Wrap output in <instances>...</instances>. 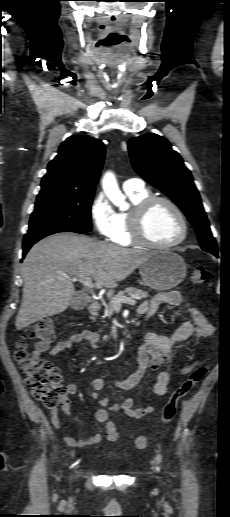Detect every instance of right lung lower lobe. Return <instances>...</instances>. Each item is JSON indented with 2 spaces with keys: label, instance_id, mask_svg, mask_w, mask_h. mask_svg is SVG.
<instances>
[{
  "label": "right lung lower lobe",
  "instance_id": "right-lung-lower-lobe-1",
  "mask_svg": "<svg viewBox=\"0 0 230 517\" xmlns=\"http://www.w3.org/2000/svg\"><path fill=\"white\" fill-rule=\"evenodd\" d=\"M66 231L76 232V233H86V231L72 229L69 227H54V228H50V229H46V230L27 233L24 236V240H23V257H25L26 253L31 248V246L34 243H36L37 241H39L40 239H42L48 235L54 234V233L66 232Z\"/></svg>",
  "mask_w": 230,
  "mask_h": 517
}]
</instances>
